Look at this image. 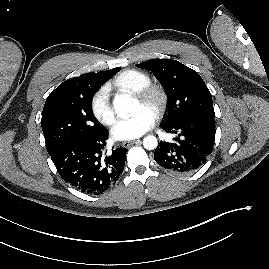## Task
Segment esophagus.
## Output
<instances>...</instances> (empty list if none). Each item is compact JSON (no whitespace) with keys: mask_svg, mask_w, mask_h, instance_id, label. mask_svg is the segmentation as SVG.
<instances>
[{"mask_svg":"<svg viewBox=\"0 0 269 269\" xmlns=\"http://www.w3.org/2000/svg\"><path fill=\"white\" fill-rule=\"evenodd\" d=\"M139 143H141V141H140L139 139H137V140H133V141H124V142L122 143V146L125 147V148H127V147H129L130 145H132V144H139Z\"/></svg>","mask_w":269,"mask_h":269,"instance_id":"obj_1","label":"esophagus"}]
</instances>
